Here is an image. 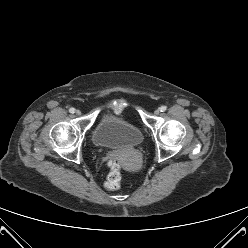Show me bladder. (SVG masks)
I'll list each match as a JSON object with an SVG mask.
<instances>
[{"mask_svg":"<svg viewBox=\"0 0 248 248\" xmlns=\"http://www.w3.org/2000/svg\"><path fill=\"white\" fill-rule=\"evenodd\" d=\"M93 143L110 149L135 148L142 144V131L118 115L102 118L92 132Z\"/></svg>","mask_w":248,"mask_h":248,"instance_id":"1","label":"bladder"}]
</instances>
